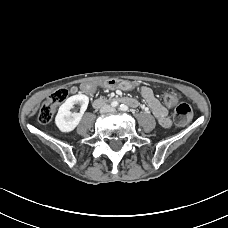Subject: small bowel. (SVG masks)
Wrapping results in <instances>:
<instances>
[{"instance_id":"small-bowel-1","label":"small bowel","mask_w":228,"mask_h":228,"mask_svg":"<svg viewBox=\"0 0 228 228\" xmlns=\"http://www.w3.org/2000/svg\"><path fill=\"white\" fill-rule=\"evenodd\" d=\"M103 86L109 89H121V90H129L133 87L132 84L127 81H118L114 79L104 82ZM136 91L143 97V99L151 109L154 117L157 119L158 123L164 128L170 127L171 119L168 117V108L155 97L152 89L142 85V86H137ZM134 101L136 102L134 106H136L137 101L136 100Z\"/></svg>"}]
</instances>
